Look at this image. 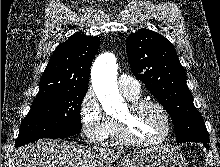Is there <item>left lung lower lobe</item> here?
I'll list each match as a JSON object with an SVG mask.
<instances>
[{
  "mask_svg": "<svg viewBox=\"0 0 220 167\" xmlns=\"http://www.w3.org/2000/svg\"><path fill=\"white\" fill-rule=\"evenodd\" d=\"M195 141L201 142L206 146V148H209V144H208L209 140H195ZM183 142H185V141H183ZM178 143H182V142H178Z\"/></svg>",
  "mask_w": 220,
  "mask_h": 167,
  "instance_id": "left-lung-lower-lobe-1",
  "label": "left lung lower lobe"
}]
</instances>
